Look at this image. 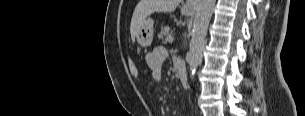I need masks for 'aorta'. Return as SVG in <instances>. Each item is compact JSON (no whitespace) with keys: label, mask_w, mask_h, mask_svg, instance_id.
Here are the masks:
<instances>
[{"label":"aorta","mask_w":305,"mask_h":116,"mask_svg":"<svg viewBox=\"0 0 305 116\" xmlns=\"http://www.w3.org/2000/svg\"><path fill=\"white\" fill-rule=\"evenodd\" d=\"M215 2L216 0H197L188 57L191 77L194 76L199 64Z\"/></svg>","instance_id":"aorta-1"}]
</instances>
